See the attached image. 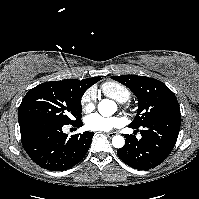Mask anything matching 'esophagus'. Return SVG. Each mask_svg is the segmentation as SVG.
Masks as SVG:
<instances>
[{"instance_id":"34e87169","label":"esophagus","mask_w":199,"mask_h":199,"mask_svg":"<svg viewBox=\"0 0 199 199\" xmlns=\"http://www.w3.org/2000/svg\"><path fill=\"white\" fill-rule=\"evenodd\" d=\"M106 135L109 137V138H112L115 134V132H108L106 133Z\"/></svg>"}]
</instances>
